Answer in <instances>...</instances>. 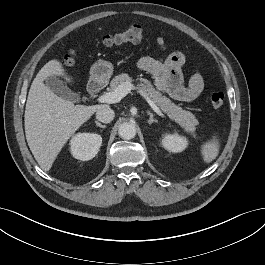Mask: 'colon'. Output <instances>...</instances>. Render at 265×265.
Masks as SVG:
<instances>
[{
	"instance_id": "5ec220e1",
	"label": "colon",
	"mask_w": 265,
	"mask_h": 265,
	"mask_svg": "<svg viewBox=\"0 0 265 265\" xmlns=\"http://www.w3.org/2000/svg\"><path fill=\"white\" fill-rule=\"evenodd\" d=\"M146 31L140 26H130L123 32L115 34H107L101 37L100 42L106 47L120 46L125 43H138L142 41L146 36ZM67 62L72 60V55H68ZM210 103L214 108H220L225 101V96L222 91L215 90L210 93Z\"/></svg>"
}]
</instances>
